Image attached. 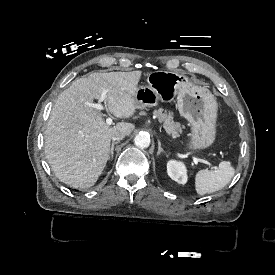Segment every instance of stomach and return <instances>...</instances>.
<instances>
[{
  "label": "stomach",
  "instance_id": "obj_1",
  "mask_svg": "<svg viewBox=\"0 0 275 275\" xmlns=\"http://www.w3.org/2000/svg\"><path fill=\"white\" fill-rule=\"evenodd\" d=\"M177 99L178 111L190 125L188 140L181 152L194 155L210 148L217 137L218 103L211 91L193 85L179 72L155 71L147 78V85L138 87L135 100L139 108L154 107L159 102Z\"/></svg>",
  "mask_w": 275,
  "mask_h": 275
}]
</instances>
